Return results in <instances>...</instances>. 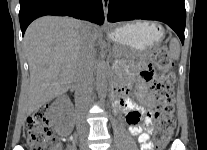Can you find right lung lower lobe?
Wrapping results in <instances>:
<instances>
[{"instance_id": "obj_1", "label": "right lung lower lobe", "mask_w": 207, "mask_h": 150, "mask_svg": "<svg viewBox=\"0 0 207 150\" xmlns=\"http://www.w3.org/2000/svg\"><path fill=\"white\" fill-rule=\"evenodd\" d=\"M45 15L72 16L99 25L104 22L101 0H20L22 34L33 20Z\"/></svg>"}]
</instances>
